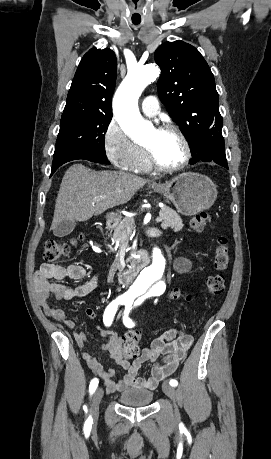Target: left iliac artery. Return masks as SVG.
<instances>
[{"instance_id": "1", "label": "left iliac artery", "mask_w": 271, "mask_h": 459, "mask_svg": "<svg viewBox=\"0 0 271 459\" xmlns=\"http://www.w3.org/2000/svg\"><path fill=\"white\" fill-rule=\"evenodd\" d=\"M125 306H126V308H127L128 306H131V304H130V305H127V304H126ZM131 313H132V310H131L130 308H127V309H125L124 316H123V323H124L125 326H127L128 328H131V327L134 326V323H133L132 320L128 317V315H130ZM169 383H170V385L173 386V387L177 386V384H178V382H177L175 379L170 380Z\"/></svg>"}]
</instances>
